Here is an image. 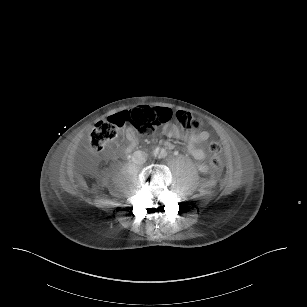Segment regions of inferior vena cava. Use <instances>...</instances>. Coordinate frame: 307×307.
I'll return each mask as SVG.
<instances>
[{
    "label": "inferior vena cava",
    "instance_id": "1",
    "mask_svg": "<svg viewBox=\"0 0 307 307\" xmlns=\"http://www.w3.org/2000/svg\"><path fill=\"white\" fill-rule=\"evenodd\" d=\"M147 153L141 150H137L132 155V161L136 164H144L147 160Z\"/></svg>",
    "mask_w": 307,
    "mask_h": 307
}]
</instances>
